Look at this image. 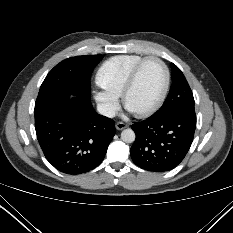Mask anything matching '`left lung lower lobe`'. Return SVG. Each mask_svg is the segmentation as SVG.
Listing matches in <instances>:
<instances>
[{
  "instance_id": "0a47b994",
  "label": "left lung lower lobe",
  "mask_w": 233,
  "mask_h": 233,
  "mask_svg": "<svg viewBox=\"0 0 233 233\" xmlns=\"http://www.w3.org/2000/svg\"><path fill=\"white\" fill-rule=\"evenodd\" d=\"M196 114L181 109L132 125L136 134L130 149L133 162L142 169L164 172L175 168L186 156L194 137Z\"/></svg>"
}]
</instances>
